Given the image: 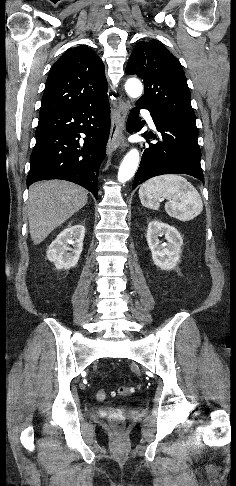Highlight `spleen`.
I'll return each mask as SVG.
<instances>
[{"label": "spleen", "instance_id": "3e777b00", "mask_svg": "<svg viewBox=\"0 0 236 486\" xmlns=\"http://www.w3.org/2000/svg\"><path fill=\"white\" fill-rule=\"evenodd\" d=\"M145 207L158 210L160 199H166L165 210L181 221H189L203 210V202L196 188L184 177L167 174L149 179L139 189Z\"/></svg>", "mask_w": 236, "mask_h": 486}]
</instances>
